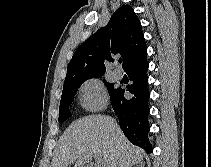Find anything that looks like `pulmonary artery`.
<instances>
[{"label": "pulmonary artery", "mask_w": 211, "mask_h": 167, "mask_svg": "<svg viewBox=\"0 0 211 167\" xmlns=\"http://www.w3.org/2000/svg\"><path fill=\"white\" fill-rule=\"evenodd\" d=\"M113 75H114V77H115L116 79H121V78H122V72H121V70L118 69V68H115V69L113 70Z\"/></svg>", "instance_id": "e3ab8cb5"}]
</instances>
